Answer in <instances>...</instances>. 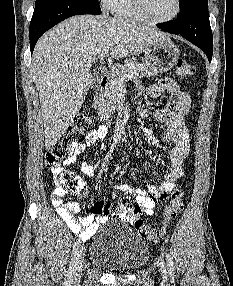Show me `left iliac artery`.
Returning <instances> with one entry per match:
<instances>
[{
  "label": "left iliac artery",
  "mask_w": 233,
  "mask_h": 286,
  "mask_svg": "<svg viewBox=\"0 0 233 286\" xmlns=\"http://www.w3.org/2000/svg\"><path fill=\"white\" fill-rule=\"evenodd\" d=\"M166 261H167V267H168V271L170 273L171 277H174V262L173 259L171 257V255L169 253H166Z\"/></svg>",
  "instance_id": "obj_1"
}]
</instances>
